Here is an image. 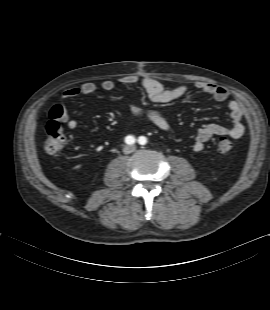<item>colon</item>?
<instances>
[{
    "label": "colon",
    "mask_w": 270,
    "mask_h": 310,
    "mask_svg": "<svg viewBox=\"0 0 270 310\" xmlns=\"http://www.w3.org/2000/svg\"><path fill=\"white\" fill-rule=\"evenodd\" d=\"M62 108L55 105L51 111L46 126L45 151L48 154L60 152L65 144V134L61 124ZM234 143L227 137H221L217 142V148L222 153L232 151Z\"/></svg>",
    "instance_id": "1"
}]
</instances>
